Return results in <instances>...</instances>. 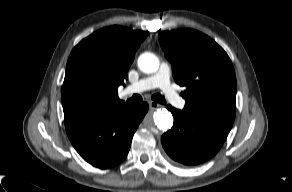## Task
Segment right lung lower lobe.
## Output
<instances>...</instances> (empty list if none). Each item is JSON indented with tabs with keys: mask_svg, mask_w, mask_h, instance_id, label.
Masks as SVG:
<instances>
[{
	"mask_svg": "<svg viewBox=\"0 0 292 192\" xmlns=\"http://www.w3.org/2000/svg\"><path fill=\"white\" fill-rule=\"evenodd\" d=\"M148 104H125L107 112L64 115L67 135L81 157L98 168L122 162Z\"/></svg>",
	"mask_w": 292,
	"mask_h": 192,
	"instance_id": "obj_1",
	"label": "right lung lower lobe"
}]
</instances>
